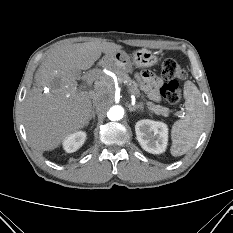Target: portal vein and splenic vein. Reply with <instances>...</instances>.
<instances>
[{
    "label": "portal vein and splenic vein",
    "mask_w": 233,
    "mask_h": 233,
    "mask_svg": "<svg viewBox=\"0 0 233 233\" xmlns=\"http://www.w3.org/2000/svg\"><path fill=\"white\" fill-rule=\"evenodd\" d=\"M91 83H92V79H91V78H88V80H87V82H86V84H85L84 87H87V86L91 85ZM128 92H129V91H128ZM132 98H134V95H132Z\"/></svg>",
    "instance_id": "obj_1"
}]
</instances>
